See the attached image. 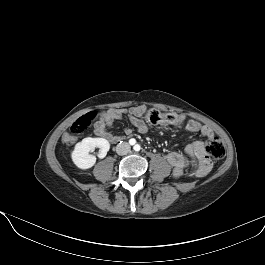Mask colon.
Listing matches in <instances>:
<instances>
[{
    "label": "colon",
    "instance_id": "5ec220e1",
    "mask_svg": "<svg viewBox=\"0 0 265 265\" xmlns=\"http://www.w3.org/2000/svg\"><path fill=\"white\" fill-rule=\"evenodd\" d=\"M143 115L151 124L173 125L185 120L183 115L177 113H163L156 109L146 110ZM99 116V112L93 111L79 117L70 127L66 141L73 143L92 126ZM205 149L209 156L216 161L222 160L225 156L224 143L217 136H213L206 141Z\"/></svg>",
    "mask_w": 265,
    "mask_h": 265
}]
</instances>
